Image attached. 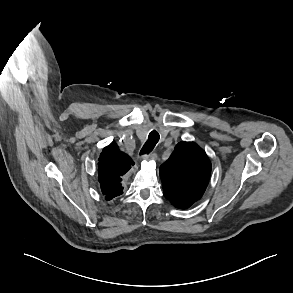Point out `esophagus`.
Segmentation results:
<instances>
[{"mask_svg":"<svg viewBox=\"0 0 293 293\" xmlns=\"http://www.w3.org/2000/svg\"><path fill=\"white\" fill-rule=\"evenodd\" d=\"M157 155L155 153H150L142 156V160H156Z\"/></svg>","mask_w":293,"mask_h":293,"instance_id":"1","label":"esophagus"}]
</instances>
